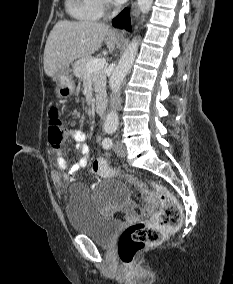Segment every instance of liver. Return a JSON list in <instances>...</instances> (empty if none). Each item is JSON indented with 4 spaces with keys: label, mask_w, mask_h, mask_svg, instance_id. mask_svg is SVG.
Returning <instances> with one entry per match:
<instances>
[{
    "label": "liver",
    "mask_w": 233,
    "mask_h": 284,
    "mask_svg": "<svg viewBox=\"0 0 233 284\" xmlns=\"http://www.w3.org/2000/svg\"><path fill=\"white\" fill-rule=\"evenodd\" d=\"M118 39V34L104 23L59 21L46 41L43 58L45 73L52 77L74 60L93 54L103 41L112 53Z\"/></svg>",
    "instance_id": "6515ba94"
}]
</instances>
